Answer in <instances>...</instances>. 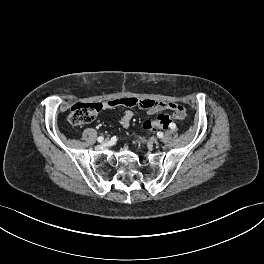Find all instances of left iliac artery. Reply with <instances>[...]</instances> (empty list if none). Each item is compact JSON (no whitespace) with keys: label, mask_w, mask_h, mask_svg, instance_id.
<instances>
[{"label":"left iliac artery","mask_w":264,"mask_h":264,"mask_svg":"<svg viewBox=\"0 0 264 264\" xmlns=\"http://www.w3.org/2000/svg\"><path fill=\"white\" fill-rule=\"evenodd\" d=\"M170 128L171 129H175L176 128V125L174 123H171Z\"/></svg>","instance_id":"obj_1"}]
</instances>
